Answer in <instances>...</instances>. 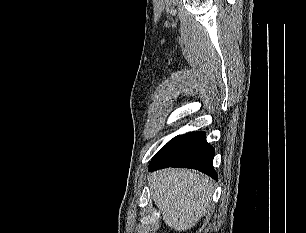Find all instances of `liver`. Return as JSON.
<instances>
[{"instance_id":"obj_1","label":"liver","mask_w":306,"mask_h":233,"mask_svg":"<svg viewBox=\"0 0 306 233\" xmlns=\"http://www.w3.org/2000/svg\"><path fill=\"white\" fill-rule=\"evenodd\" d=\"M149 186L164 222L177 231L191 229L211 204L210 179L193 170H160L151 175Z\"/></svg>"}]
</instances>
